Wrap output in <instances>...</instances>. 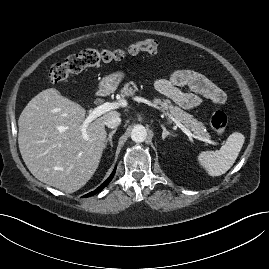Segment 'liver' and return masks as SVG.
I'll return each instance as SVG.
<instances>
[{"mask_svg":"<svg viewBox=\"0 0 269 269\" xmlns=\"http://www.w3.org/2000/svg\"><path fill=\"white\" fill-rule=\"evenodd\" d=\"M86 110L54 88L32 98L18 120V144L29 171L41 182L66 193L83 187L94 175L105 148L108 111L82 125Z\"/></svg>","mask_w":269,"mask_h":269,"instance_id":"6515ba94","label":"liver"}]
</instances>
